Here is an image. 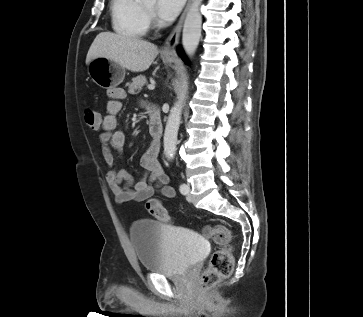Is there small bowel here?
<instances>
[{"mask_svg":"<svg viewBox=\"0 0 363 317\" xmlns=\"http://www.w3.org/2000/svg\"><path fill=\"white\" fill-rule=\"evenodd\" d=\"M107 114L102 118L100 144L104 159L110 167L106 181L117 203L144 201L150 199L155 191L162 196L172 198L174 189L169 185V177L158 161L159 148L152 143L142 155L140 165L143 174L138 180L126 171L117 169L115 152H120L126 144V134L117 128L118 115L122 109V100L126 94L122 88H114L109 92ZM155 184V187L152 184Z\"/></svg>","mask_w":363,"mask_h":317,"instance_id":"small-bowel-1","label":"small bowel"}]
</instances>
